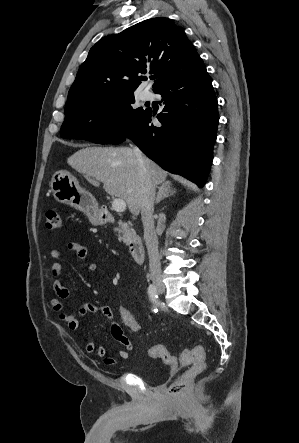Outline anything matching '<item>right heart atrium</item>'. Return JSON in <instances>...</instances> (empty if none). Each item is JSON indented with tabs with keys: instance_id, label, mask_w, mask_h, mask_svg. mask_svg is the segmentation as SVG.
<instances>
[{
	"instance_id": "d8ad5b80",
	"label": "right heart atrium",
	"mask_w": 299,
	"mask_h": 443,
	"mask_svg": "<svg viewBox=\"0 0 299 443\" xmlns=\"http://www.w3.org/2000/svg\"><path fill=\"white\" fill-rule=\"evenodd\" d=\"M117 121V116L114 112H110L105 116V122L107 126H113Z\"/></svg>"
}]
</instances>
